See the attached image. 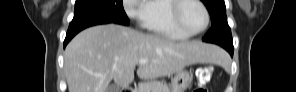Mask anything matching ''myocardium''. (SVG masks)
<instances>
[{
    "label": "myocardium",
    "instance_id": "f54148a6",
    "mask_svg": "<svg viewBox=\"0 0 296 92\" xmlns=\"http://www.w3.org/2000/svg\"><path fill=\"white\" fill-rule=\"evenodd\" d=\"M187 2H195V3L199 4L205 13V17H206L205 24L200 30H198L196 32L188 31L187 29H185V27L183 26V24L181 22L180 13H181L183 6ZM171 19H172V22L175 25V27L181 33H183L187 37H193V36H197V35L201 34L202 32H204L208 28L209 23H210V14H209L207 7L200 0H178V1H174V3H173L172 10H171Z\"/></svg>",
    "mask_w": 296,
    "mask_h": 92
}]
</instances>
